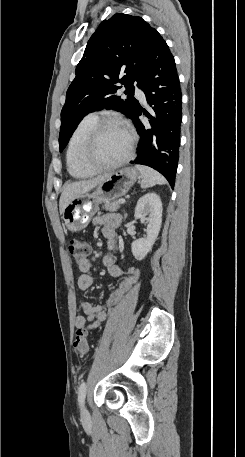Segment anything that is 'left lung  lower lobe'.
<instances>
[{
	"mask_svg": "<svg viewBox=\"0 0 245 457\" xmlns=\"http://www.w3.org/2000/svg\"><path fill=\"white\" fill-rule=\"evenodd\" d=\"M152 106V114L138 106L131 118L140 135L137 157L131 163L150 166L166 177L174 188L179 160L182 94L174 57L166 42L156 44L138 86ZM142 114L149 124L139 120Z\"/></svg>",
	"mask_w": 245,
	"mask_h": 457,
	"instance_id": "0a47b994",
	"label": "left lung lower lobe"
}]
</instances>
